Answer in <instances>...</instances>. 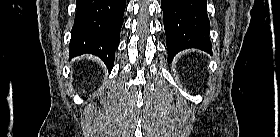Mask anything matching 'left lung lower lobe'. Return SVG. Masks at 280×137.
Listing matches in <instances>:
<instances>
[{"mask_svg":"<svg viewBox=\"0 0 280 137\" xmlns=\"http://www.w3.org/2000/svg\"><path fill=\"white\" fill-rule=\"evenodd\" d=\"M206 6L207 0H161L169 61L183 49L211 52Z\"/></svg>","mask_w":280,"mask_h":137,"instance_id":"1","label":"left lung lower lobe"}]
</instances>
